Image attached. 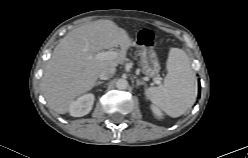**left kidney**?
I'll return each mask as SVG.
<instances>
[{"label":"left kidney","mask_w":248,"mask_h":158,"mask_svg":"<svg viewBox=\"0 0 248 158\" xmlns=\"http://www.w3.org/2000/svg\"><path fill=\"white\" fill-rule=\"evenodd\" d=\"M151 109L155 116L162 117V112L156 106H151Z\"/></svg>","instance_id":"obj_1"}]
</instances>
